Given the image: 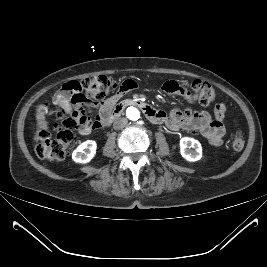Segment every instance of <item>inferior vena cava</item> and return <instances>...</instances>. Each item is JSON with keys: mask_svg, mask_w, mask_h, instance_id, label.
Masks as SVG:
<instances>
[{"mask_svg": "<svg viewBox=\"0 0 267 267\" xmlns=\"http://www.w3.org/2000/svg\"><path fill=\"white\" fill-rule=\"evenodd\" d=\"M127 122H128V121H127L126 118H118V119H116V120L114 121V123H113V128H114L115 130L122 129V128H124V127L126 126Z\"/></svg>", "mask_w": 267, "mask_h": 267, "instance_id": "inferior-vena-cava-1", "label": "inferior vena cava"}]
</instances>
